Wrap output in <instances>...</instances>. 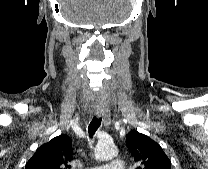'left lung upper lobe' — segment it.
<instances>
[{
  "label": "left lung upper lobe",
  "instance_id": "left-lung-upper-lobe-1",
  "mask_svg": "<svg viewBox=\"0 0 208 169\" xmlns=\"http://www.w3.org/2000/svg\"><path fill=\"white\" fill-rule=\"evenodd\" d=\"M126 145L139 164L137 169H171L169 158L150 137L132 130L126 136Z\"/></svg>",
  "mask_w": 208,
  "mask_h": 169
}]
</instances>
